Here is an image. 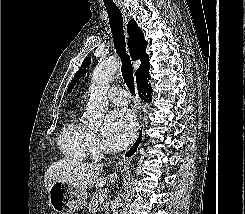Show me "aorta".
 Listing matches in <instances>:
<instances>
[{
	"label": "aorta",
	"mask_w": 245,
	"mask_h": 214,
	"mask_svg": "<svg viewBox=\"0 0 245 214\" xmlns=\"http://www.w3.org/2000/svg\"><path fill=\"white\" fill-rule=\"evenodd\" d=\"M118 66L117 58H109L99 62L91 76L90 98L82 117V122L90 128H99L103 121L108 106L107 90Z\"/></svg>",
	"instance_id": "aorta-1"
}]
</instances>
